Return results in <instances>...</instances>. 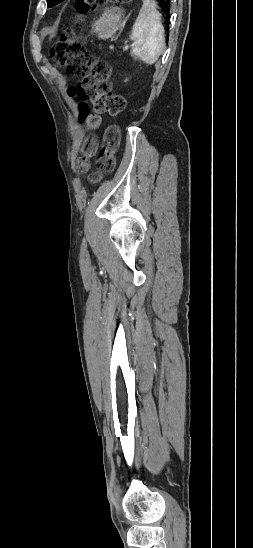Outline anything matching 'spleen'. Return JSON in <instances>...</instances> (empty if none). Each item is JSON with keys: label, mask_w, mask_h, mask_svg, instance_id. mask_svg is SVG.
<instances>
[{"label": "spleen", "mask_w": 253, "mask_h": 548, "mask_svg": "<svg viewBox=\"0 0 253 548\" xmlns=\"http://www.w3.org/2000/svg\"><path fill=\"white\" fill-rule=\"evenodd\" d=\"M143 5L132 27L130 38L134 40L132 54L147 65L154 64L165 45L161 15L152 0H142Z\"/></svg>", "instance_id": "1"}]
</instances>
